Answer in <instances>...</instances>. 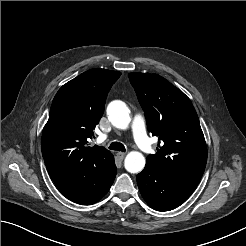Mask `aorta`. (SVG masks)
Returning <instances> with one entry per match:
<instances>
[{
    "instance_id": "obj_1",
    "label": "aorta",
    "mask_w": 246,
    "mask_h": 246,
    "mask_svg": "<svg viewBox=\"0 0 246 246\" xmlns=\"http://www.w3.org/2000/svg\"><path fill=\"white\" fill-rule=\"evenodd\" d=\"M130 111L122 101H113L107 107L108 119L113 126L119 129H126L131 121ZM145 157L138 151H131L127 154L124 166L130 173H139L145 166Z\"/></svg>"
}]
</instances>
